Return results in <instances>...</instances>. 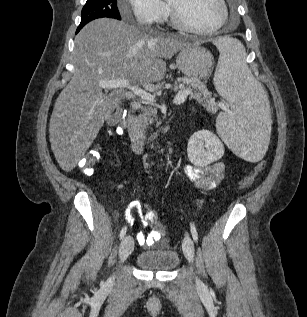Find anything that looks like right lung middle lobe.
I'll return each instance as SVG.
<instances>
[{"instance_id":"1","label":"right lung middle lobe","mask_w":307,"mask_h":317,"mask_svg":"<svg viewBox=\"0 0 307 317\" xmlns=\"http://www.w3.org/2000/svg\"><path fill=\"white\" fill-rule=\"evenodd\" d=\"M109 17L121 20L117 0H87L82 9L80 26L96 18Z\"/></svg>"}]
</instances>
